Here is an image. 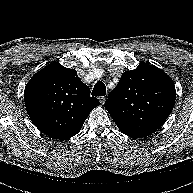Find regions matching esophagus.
<instances>
[{
    "instance_id": "1",
    "label": "esophagus",
    "mask_w": 193,
    "mask_h": 193,
    "mask_svg": "<svg viewBox=\"0 0 193 193\" xmlns=\"http://www.w3.org/2000/svg\"><path fill=\"white\" fill-rule=\"evenodd\" d=\"M99 102L103 105L106 101V97L105 96H100L99 98Z\"/></svg>"
}]
</instances>
